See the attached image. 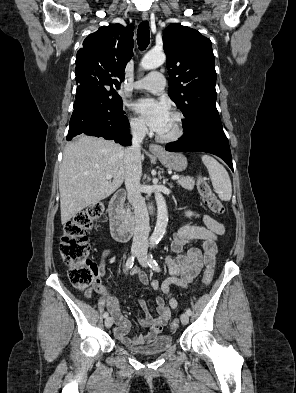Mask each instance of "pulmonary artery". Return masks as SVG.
I'll return each mask as SVG.
<instances>
[{
    "label": "pulmonary artery",
    "instance_id": "obj_1",
    "mask_svg": "<svg viewBox=\"0 0 296 393\" xmlns=\"http://www.w3.org/2000/svg\"><path fill=\"white\" fill-rule=\"evenodd\" d=\"M165 78L159 72H151L144 78L136 81L133 88L136 90H148L153 93H159L164 89Z\"/></svg>",
    "mask_w": 296,
    "mask_h": 393
}]
</instances>
